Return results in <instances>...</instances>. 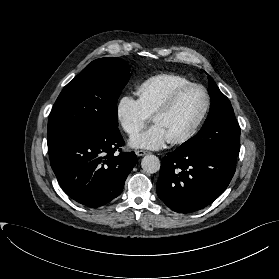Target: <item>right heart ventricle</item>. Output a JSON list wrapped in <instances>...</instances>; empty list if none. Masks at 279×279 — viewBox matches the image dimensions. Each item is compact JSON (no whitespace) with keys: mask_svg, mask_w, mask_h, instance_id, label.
<instances>
[{"mask_svg":"<svg viewBox=\"0 0 279 279\" xmlns=\"http://www.w3.org/2000/svg\"><path fill=\"white\" fill-rule=\"evenodd\" d=\"M192 83L185 76L161 73L151 76L137 86L138 100L150 117L164 104L170 94L180 86Z\"/></svg>","mask_w":279,"mask_h":279,"instance_id":"right-heart-ventricle-1","label":"right heart ventricle"}]
</instances>
